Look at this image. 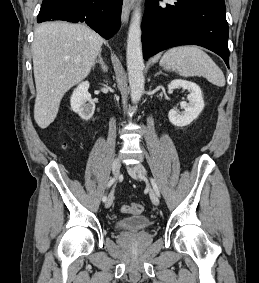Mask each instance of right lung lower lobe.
<instances>
[{
  "label": "right lung lower lobe",
  "instance_id": "1",
  "mask_svg": "<svg viewBox=\"0 0 259 283\" xmlns=\"http://www.w3.org/2000/svg\"><path fill=\"white\" fill-rule=\"evenodd\" d=\"M122 1L43 0L37 21L85 22L102 37L110 39L120 28Z\"/></svg>",
  "mask_w": 259,
  "mask_h": 283
}]
</instances>
